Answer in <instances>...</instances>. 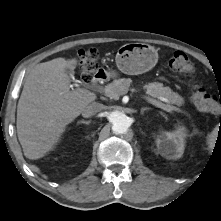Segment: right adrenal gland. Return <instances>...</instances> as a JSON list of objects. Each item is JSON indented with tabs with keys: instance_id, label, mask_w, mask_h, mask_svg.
<instances>
[{
	"instance_id": "2a0ac1e0",
	"label": "right adrenal gland",
	"mask_w": 221,
	"mask_h": 221,
	"mask_svg": "<svg viewBox=\"0 0 221 221\" xmlns=\"http://www.w3.org/2000/svg\"><path fill=\"white\" fill-rule=\"evenodd\" d=\"M90 123V121H84V120H81V121H78V124H89Z\"/></svg>"
}]
</instances>
